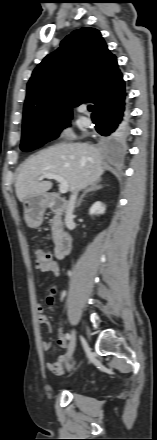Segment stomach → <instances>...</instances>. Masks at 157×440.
Here are the masks:
<instances>
[{"instance_id": "stomach-1", "label": "stomach", "mask_w": 157, "mask_h": 440, "mask_svg": "<svg viewBox=\"0 0 157 440\" xmlns=\"http://www.w3.org/2000/svg\"><path fill=\"white\" fill-rule=\"evenodd\" d=\"M47 206L44 195H31L23 200L24 219L31 228L39 227L43 221V215Z\"/></svg>"}]
</instances>
